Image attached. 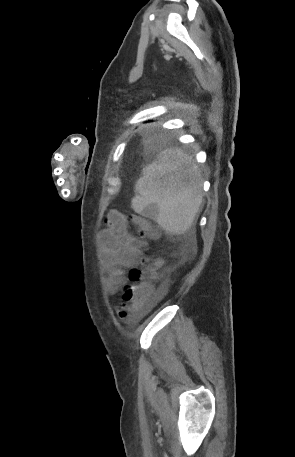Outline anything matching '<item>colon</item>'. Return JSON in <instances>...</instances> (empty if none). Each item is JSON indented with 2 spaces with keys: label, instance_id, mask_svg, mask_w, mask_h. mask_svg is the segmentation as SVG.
<instances>
[{
  "label": "colon",
  "instance_id": "obj_1",
  "mask_svg": "<svg viewBox=\"0 0 295 457\" xmlns=\"http://www.w3.org/2000/svg\"><path fill=\"white\" fill-rule=\"evenodd\" d=\"M131 220L138 228L141 238L149 240L157 239L158 232L148 219L138 215H132ZM161 264V261L158 259L145 257L142 259V267L132 268L129 271L128 278L130 284L123 293L122 304L118 311L121 319L134 320L142 312L148 298L153 292L150 281L158 277Z\"/></svg>",
  "mask_w": 295,
  "mask_h": 457
}]
</instances>
